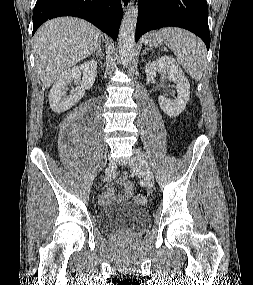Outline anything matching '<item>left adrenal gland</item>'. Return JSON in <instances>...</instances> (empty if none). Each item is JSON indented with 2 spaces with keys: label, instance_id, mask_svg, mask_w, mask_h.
<instances>
[{
  "label": "left adrenal gland",
  "instance_id": "left-adrenal-gland-1",
  "mask_svg": "<svg viewBox=\"0 0 253 285\" xmlns=\"http://www.w3.org/2000/svg\"><path fill=\"white\" fill-rule=\"evenodd\" d=\"M147 51H149V49L143 50V52L141 53V55H144Z\"/></svg>",
  "mask_w": 253,
  "mask_h": 285
}]
</instances>
